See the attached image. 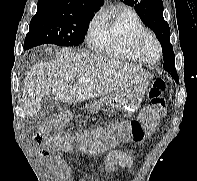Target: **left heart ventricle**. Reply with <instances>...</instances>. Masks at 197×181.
<instances>
[{"instance_id": "left-heart-ventricle-1", "label": "left heart ventricle", "mask_w": 197, "mask_h": 181, "mask_svg": "<svg viewBox=\"0 0 197 181\" xmlns=\"http://www.w3.org/2000/svg\"><path fill=\"white\" fill-rule=\"evenodd\" d=\"M145 55L150 60H155L158 56V49L156 44L151 39H146L143 43Z\"/></svg>"}]
</instances>
